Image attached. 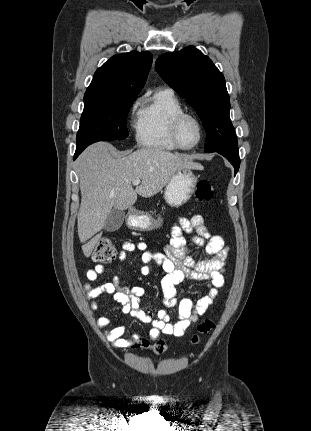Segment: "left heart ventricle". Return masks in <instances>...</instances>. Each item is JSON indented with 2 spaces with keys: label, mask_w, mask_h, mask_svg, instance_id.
<instances>
[{
  "label": "left heart ventricle",
  "mask_w": 311,
  "mask_h": 431,
  "mask_svg": "<svg viewBox=\"0 0 311 431\" xmlns=\"http://www.w3.org/2000/svg\"><path fill=\"white\" fill-rule=\"evenodd\" d=\"M201 129L197 120L193 117L185 118L180 125V138L184 145H193L197 142Z\"/></svg>",
  "instance_id": "b2bd125f"
}]
</instances>
